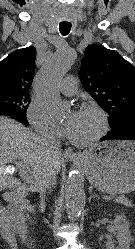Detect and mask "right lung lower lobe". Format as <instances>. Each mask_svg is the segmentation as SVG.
Masks as SVG:
<instances>
[{
    "instance_id": "98d812e1",
    "label": "right lung lower lobe",
    "mask_w": 135,
    "mask_h": 249,
    "mask_svg": "<svg viewBox=\"0 0 135 249\" xmlns=\"http://www.w3.org/2000/svg\"><path fill=\"white\" fill-rule=\"evenodd\" d=\"M0 115L9 116V117L19 121L20 123L26 125V126L29 125L26 117H24L20 114H17L12 110L0 108Z\"/></svg>"
}]
</instances>
